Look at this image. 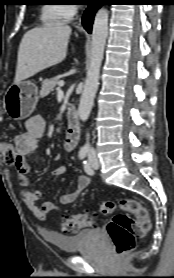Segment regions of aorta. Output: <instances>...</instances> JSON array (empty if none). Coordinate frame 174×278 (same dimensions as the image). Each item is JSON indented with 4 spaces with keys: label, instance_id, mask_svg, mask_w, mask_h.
Masks as SVG:
<instances>
[{
    "label": "aorta",
    "instance_id": "1",
    "mask_svg": "<svg viewBox=\"0 0 174 278\" xmlns=\"http://www.w3.org/2000/svg\"><path fill=\"white\" fill-rule=\"evenodd\" d=\"M108 18V10L101 8L96 13L94 19L90 64L78 106V115L83 122L89 118L99 85L100 68L103 60L106 39L108 37Z\"/></svg>",
    "mask_w": 174,
    "mask_h": 278
}]
</instances>
